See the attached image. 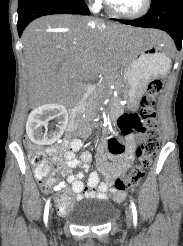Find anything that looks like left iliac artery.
<instances>
[{
	"label": "left iliac artery",
	"instance_id": "44dca946",
	"mask_svg": "<svg viewBox=\"0 0 183 246\" xmlns=\"http://www.w3.org/2000/svg\"><path fill=\"white\" fill-rule=\"evenodd\" d=\"M131 208H132L133 222H134V225H136L137 224V210H136V206L132 199H131Z\"/></svg>",
	"mask_w": 183,
	"mask_h": 246
}]
</instances>
